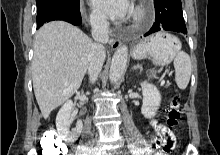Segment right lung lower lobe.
Returning a JSON list of instances; mask_svg holds the SVG:
<instances>
[{
	"instance_id": "1",
	"label": "right lung lower lobe",
	"mask_w": 220,
	"mask_h": 155,
	"mask_svg": "<svg viewBox=\"0 0 220 155\" xmlns=\"http://www.w3.org/2000/svg\"><path fill=\"white\" fill-rule=\"evenodd\" d=\"M54 20H63L73 25H82L80 7L78 8L55 7L37 13L36 16L37 28H40V26H42L46 22H50Z\"/></svg>"
}]
</instances>
